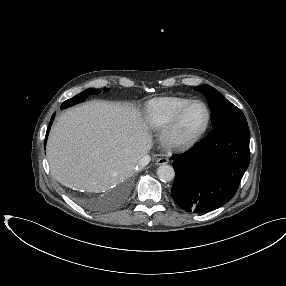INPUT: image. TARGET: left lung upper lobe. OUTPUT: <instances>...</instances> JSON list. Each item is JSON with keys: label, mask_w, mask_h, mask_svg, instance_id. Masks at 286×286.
I'll list each match as a JSON object with an SVG mask.
<instances>
[{"label": "left lung upper lobe", "mask_w": 286, "mask_h": 286, "mask_svg": "<svg viewBox=\"0 0 286 286\" xmlns=\"http://www.w3.org/2000/svg\"><path fill=\"white\" fill-rule=\"evenodd\" d=\"M207 98L211 110L213 129L222 125L242 124L247 125V120L242 111L228 101L220 92L209 85L194 87Z\"/></svg>", "instance_id": "obj_1"}]
</instances>
